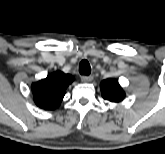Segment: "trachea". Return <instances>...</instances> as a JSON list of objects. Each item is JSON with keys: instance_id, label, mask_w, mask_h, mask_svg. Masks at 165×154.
<instances>
[{"instance_id": "trachea-1", "label": "trachea", "mask_w": 165, "mask_h": 154, "mask_svg": "<svg viewBox=\"0 0 165 154\" xmlns=\"http://www.w3.org/2000/svg\"><path fill=\"white\" fill-rule=\"evenodd\" d=\"M79 72L81 75H89L91 73V67L87 60H82L79 65Z\"/></svg>"}]
</instances>
